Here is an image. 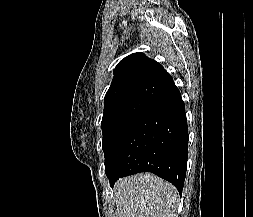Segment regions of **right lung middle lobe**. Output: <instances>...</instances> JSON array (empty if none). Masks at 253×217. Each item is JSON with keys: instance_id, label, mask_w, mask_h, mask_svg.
<instances>
[{"instance_id": "obj_1", "label": "right lung middle lobe", "mask_w": 253, "mask_h": 217, "mask_svg": "<svg viewBox=\"0 0 253 217\" xmlns=\"http://www.w3.org/2000/svg\"><path fill=\"white\" fill-rule=\"evenodd\" d=\"M149 103L145 100H127L104 108L101 128L103 130L102 149L105 154V166L124 132L147 108Z\"/></svg>"}]
</instances>
